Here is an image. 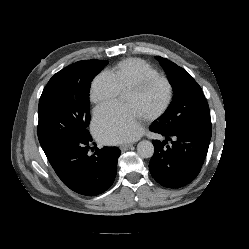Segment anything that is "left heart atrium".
I'll use <instances>...</instances> for the list:
<instances>
[{
    "label": "left heart atrium",
    "mask_w": 249,
    "mask_h": 249,
    "mask_svg": "<svg viewBox=\"0 0 249 249\" xmlns=\"http://www.w3.org/2000/svg\"><path fill=\"white\" fill-rule=\"evenodd\" d=\"M140 126V116L127 105H102L94 112L93 131L103 143L118 144L134 140L141 133Z\"/></svg>",
    "instance_id": "1"
}]
</instances>
